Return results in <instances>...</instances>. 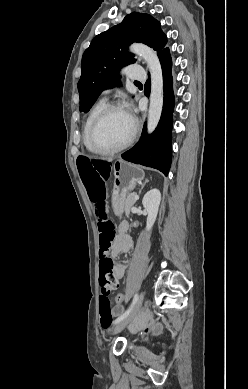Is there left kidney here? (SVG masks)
Segmentation results:
<instances>
[{"mask_svg":"<svg viewBox=\"0 0 248 389\" xmlns=\"http://www.w3.org/2000/svg\"><path fill=\"white\" fill-rule=\"evenodd\" d=\"M161 201V193L158 189L148 191L142 200V205L148 213L146 229L150 230L155 223Z\"/></svg>","mask_w":248,"mask_h":389,"instance_id":"5707ae66","label":"left kidney"}]
</instances>
